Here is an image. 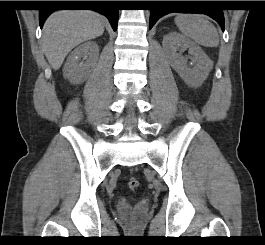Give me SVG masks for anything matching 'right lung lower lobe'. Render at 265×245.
I'll return each instance as SVG.
<instances>
[{
    "instance_id": "right-lung-lower-lobe-1",
    "label": "right lung lower lobe",
    "mask_w": 265,
    "mask_h": 245,
    "mask_svg": "<svg viewBox=\"0 0 265 245\" xmlns=\"http://www.w3.org/2000/svg\"><path fill=\"white\" fill-rule=\"evenodd\" d=\"M56 5H63V4L58 3ZM78 6L93 7L92 10L105 15L109 19L114 31L117 29L119 13H118V9L116 8V1H85L84 3H81ZM53 11L55 10L54 9L39 10V23H40L41 28L46 18Z\"/></svg>"
}]
</instances>
